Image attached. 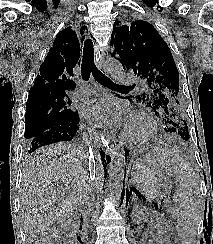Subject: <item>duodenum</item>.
<instances>
[{
    "label": "duodenum",
    "instance_id": "obj_1",
    "mask_svg": "<svg viewBox=\"0 0 213 244\" xmlns=\"http://www.w3.org/2000/svg\"><path fill=\"white\" fill-rule=\"evenodd\" d=\"M83 225L82 223L78 222L75 224V235L70 236V239L73 240L75 244H83L82 240L84 239L83 235ZM71 242H68L67 244H70Z\"/></svg>",
    "mask_w": 213,
    "mask_h": 244
}]
</instances>
